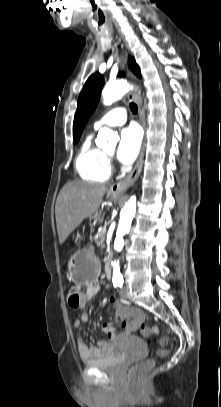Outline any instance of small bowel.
Masks as SVG:
<instances>
[{"instance_id":"c3829d8e","label":"small bowel","mask_w":221,"mask_h":407,"mask_svg":"<svg viewBox=\"0 0 221 407\" xmlns=\"http://www.w3.org/2000/svg\"><path fill=\"white\" fill-rule=\"evenodd\" d=\"M86 292L84 293V305L90 302L100 291V286L96 282L90 283L86 286ZM110 303L116 309L117 305H123L117 298L111 297L109 299ZM88 320L86 314H83L79 319L74 321V326L79 328L83 323ZM101 329L107 333L109 341H102L99 345L90 347L85 342L84 338L79 335L76 339V345L78 349V353L82 360H92L96 358H100L105 356L106 354L113 351L115 346L119 343L120 334L118 329L113 326L111 323H104L101 326ZM134 330H129L126 328V332H131Z\"/></svg>"}]
</instances>
